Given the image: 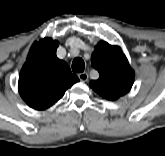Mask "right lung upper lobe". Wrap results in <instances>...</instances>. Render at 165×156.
<instances>
[{"mask_svg":"<svg viewBox=\"0 0 165 156\" xmlns=\"http://www.w3.org/2000/svg\"><path fill=\"white\" fill-rule=\"evenodd\" d=\"M58 41L44 38L32 46L19 75V93L31 108L44 110L55 104L79 81L56 56Z\"/></svg>","mask_w":165,"mask_h":156,"instance_id":"1","label":"right lung upper lobe"}]
</instances>
